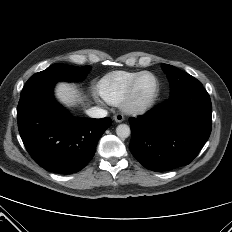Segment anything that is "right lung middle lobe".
I'll return each instance as SVG.
<instances>
[{
  "label": "right lung middle lobe",
  "mask_w": 232,
  "mask_h": 232,
  "mask_svg": "<svg viewBox=\"0 0 232 232\" xmlns=\"http://www.w3.org/2000/svg\"><path fill=\"white\" fill-rule=\"evenodd\" d=\"M89 66L74 67L65 64H53L46 70L34 74L25 84L21 94H25L30 90L48 84H55L57 81H77L82 79L88 70Z\"/></svg>",
  "instance_id": "dd1d6c3e"
}]
</instances>
